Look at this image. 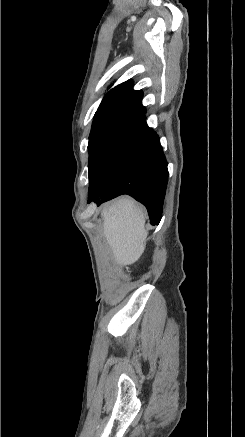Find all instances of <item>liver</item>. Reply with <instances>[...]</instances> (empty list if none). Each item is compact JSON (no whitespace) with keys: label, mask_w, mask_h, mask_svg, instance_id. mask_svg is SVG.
<instances>
[{"label":"liver","mask_w":245,"mask_h":437,"mask_svg":"<svg viewBox=\"0 0 245 437\" xmlns=\"http://www.w3.org/2000/svg\"><path fill=\"white\" fill-rule=\"evenodd\" d=\"M103 232L116 263L131 265L143 254L148 232L145 215L129 198H121L102 210Z\"/></svg>","instance_id":"6515ba94"}]
</instances>
